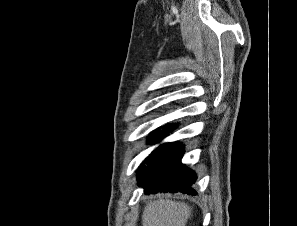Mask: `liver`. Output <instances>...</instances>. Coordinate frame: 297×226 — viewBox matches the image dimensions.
<instances>
[{
    "instance_id": "6515ba94",
    "label": "liver",
    "mask_w": 297,
    "mask_h": 226,
    "mask_svg": "<svg viewBox=\"0 0 297 226\" xmlns=\"http://www.w3.org/2000/svg\"><path fill=\"white\" fill-rule=\"evenodd\" d=\"M192 207L185 202L155 200L147 203L142 214V226H186Z\"/></svg>"
}]
</instances>
